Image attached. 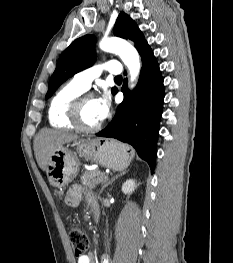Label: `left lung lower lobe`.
<instances>
[{
	"mask_svg": "<svg viewBox=\"0 0 233 263\" xmlns=\"http://www.w3.org/2000/svg\"><path fill=\"white\" fill-rule=\"evenodd\" d=\"M139 54L143 65L136 88L130 93L127 79L124 80V101L117 107L112 122L96 135L132 145L140 158L147 161L153 173L164 86L150 46L146 44ZM116 93L117 89L112 92L113 95Z\"/></svg>",
	"mask_w": 233,
	"mask_h": 263,
	"instance_id": "1",
	"label": "left lung lower lobe"
}]
</instances>
